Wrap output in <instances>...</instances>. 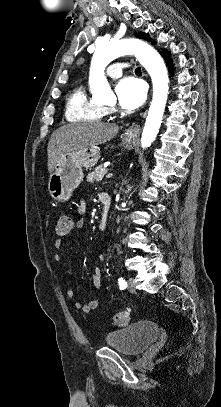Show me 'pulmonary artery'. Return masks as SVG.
Listing matches in <instances>:
<instances>
[{"instance_id":"e3ab8cb5","label":"pulmonary artery","mask_w":221,"mask_h":407,"mask_svg":"<svg viewBox=\"0 0 221 407\" xmlns=\"http://www.w3.org/2000/svg\"><path fill=\"white\" fill-rule=\"evenodd\" d=\"M126 66L128 64L124 61V58H120L118 62H114L108 67L107 74L112 78H117L122 75L123 68Z\"/></svg>"}]
</instances>
